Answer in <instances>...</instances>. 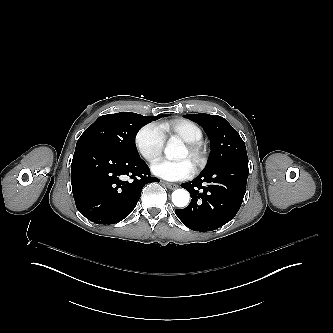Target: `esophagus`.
<instances>
[{"mask_svg": "<svg viewBox=\"0 0 333 333\" xmlns=\"http://www.w3.org/2000/svg\"><path fill=\"white\" fill-rule=\"evenodd\" d=\"M166 186H167V188L170 189V190H175V189L178 187L177 184L169 183V182H166Z\"/></svg>", "mask_w": 333, "mask_h": 333, "instance_id": "34e87169", "label": "esophagus"}]
</instances>
